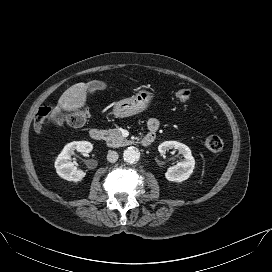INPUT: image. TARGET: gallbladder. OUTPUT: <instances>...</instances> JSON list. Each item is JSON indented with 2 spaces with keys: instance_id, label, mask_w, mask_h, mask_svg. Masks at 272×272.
Here are the masks:
<instances>
[{
  "instance_id": "obj_1",
  "label": "gallbladder",
  "mask_w": 272,
  "mask_h": 272,
  "mask_svg": "<svg viewBox=\"0 0 272 272\" xmlns=\"http://www.w3.org/2000/svg\"><path fill=\"white\" fill-rule=\"evenodd\" d=\"M87 87L88 92L94 95L96 90H104L107 86L106 83H104L103 81L93 80L88 83Z\"/></svg>"
}]
</instances>
